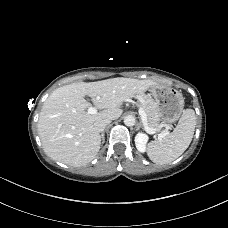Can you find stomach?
Here are the masks:
<instances>
[{
	"instance_id": "1",
	"label": "stomach",
	"mask_w": 228,
	"mask_h": 228,
	"mask_svg": "<svg viewBox=\"0 0 228 228\" xmlns=\"http://www.w3.org/2000/svg\"><path fill=\"white\" fill-rule=\"evenodd\" d=\"M150 96L156 106L160 119L164 123L173 124L181 116L184 108L182 94L170 87L156 85L149 88Z\"/></svg>"
}]
</instances>
